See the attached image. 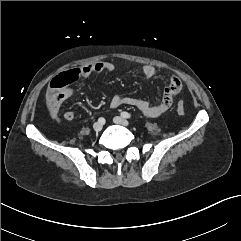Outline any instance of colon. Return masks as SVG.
<instances>
[{
    "mask_svg": "<svg viewBox=\"0 0 241 241\" xmlns=\"http://www.w3.org/2000/svg\"><path fill=\"white\" fill-rule=\"evenodd\" d=\"M84 74V68L81 65H77L75 68L69 69L68 72L58 75L49 86L48 96L53 97L59 90L67 87L74 80H81ZM177 112L181 115L185 113V105L183 102L177 104Z\"/></svg>",
    "mask_w": 241,
    "mask_h": 241,
    "instance_id": "1",
    "label": "colon"
}]
</instances>
